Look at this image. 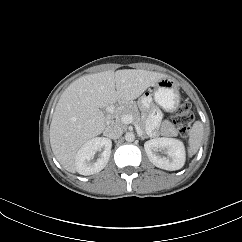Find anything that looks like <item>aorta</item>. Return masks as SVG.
Instances as JSON below:
<instances>
[{
	"label": "aorta",
	"instance_id": "762f6f07",
	"mask_svg": "<svg viewBox=\"0 0 242 242\" xmlns=\"http://www.w3.org/2000/svg\"><path fill=\"white\" fill-rule=\"evenodd\" d=\"M125 140L127 142H133L135 140V135L132 132H128L125 134Z\"/></svg>",
	"mask_w": 242,
	"mask_h": 242
}]
</instances>
